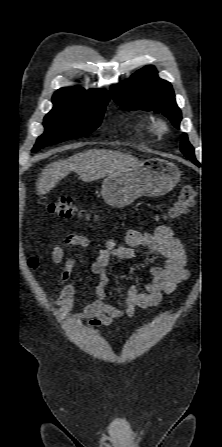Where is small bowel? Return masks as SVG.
Masks as SVG:
<instances>
[{
  "instance_id": "small-bowel-1",
  "label": "small bowel",
  "mask_w": 222,
  "mask_h": 447,
  "mask_svg": "<svg viewBox=\"0 0 222 447\" xmlns=\"http://www.w3.org/2000/svg\"><path fill=\"white\" fill-rule=\"evenodd\" d=\"M126 245L115 240H108L104 248L91 264V271L98 276V281L92 285L95 299L82 310L71 312L72 305L78 291L76 281L71 277L72 269L77 261L65 258L64 250L56 245L52 248L51 257L54 263L62 267L59 279L66 283L60 296L54 301L62 313H70L74 320H87L91 327L111 325L116 318H132L137 308H151L161 303L163 294L173 293L177 286L186 281L189 271L186 268L187 254L181 243L174 236L172 228L168 225H159L152 232H142L131 229L125 236ZM64 243L71 246L87 248L89 239L80 234H68ZM145 248L150 257L161 256L164 259L162 266L152 264L149 267L151 281L142 292L137 286H131L127 291L125 307L119 309L106 303L105 286L108 281L107 268L113 260L131 259L136 256L137 248Z\"/></svg>"
}]
</instances>
